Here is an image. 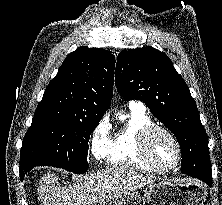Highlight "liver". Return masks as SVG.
Here are the masks:
<instances>
[{"mask_svg":"<svg viewBox=\"0 0 222 205\" xmlns=\"http://www.w3.org/2000/svg\"><path fill=\"white\" fill-rule=\"evenodd\" d=\"M54 173L43 176L38 194L43 205H93L116 199L136 191L155 179L144 176L124 166H115L85 176L77 177L75 183L61 186Z\"/></svg>","mask_w":222,"mask_h":205,"instance_id":"liver-1","label":"liver"}]
</instances>
